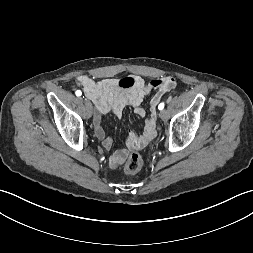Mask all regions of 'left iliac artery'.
Returning a JSON list of instances; mask_svg holds the SVG:
<instances>
[{
	"label": "left iliac artery",
	"instance_id": "1",
	"mask_svg": "<svg viewBox=\"0 0 253 253\" xmlns=\"http://www.w3.org/2000/svg\"><path fill=\"white\" fill-rule=\"evenodd\" d=\"M164 106H165V104L162 102V103L159 104L158 109L162 110L164 108Z\"/></svg>",
	"mask_w": 253,
	"mask_h": 253
}]
</instances>
